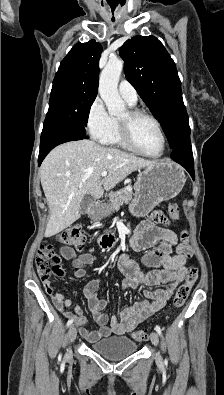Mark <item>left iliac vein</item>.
<instances>
[{
  "label": "left iliac vein",
  "mask_w": 224,
  "mask_h": 395,
  "mask_svg": "<svg viewBox=\"0 0 224 395\" xmlns=\"http://www.w3.org/2000/svg\"><path fill=\"white\" fill-rule=\"evenodd\" d=\"M150 340H151V342H152V344L154 346H158L159 337H158V334L155 331L151 332ZM156 361L158 362V364H162V362H163L162 361V357H161V355L159 353L156 354Z\"/></svg>",
  "instance_id": "obj_1"
}]
</instances>
